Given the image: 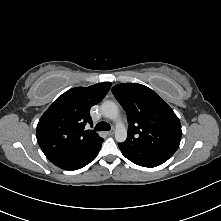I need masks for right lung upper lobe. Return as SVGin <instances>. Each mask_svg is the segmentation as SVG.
<instances>
[{
  "instance_id": "cb5924a9",
  "label": "right lung upper lobe",
  "mask_w": 221,
  "mask_h": 221,
  "mask_svg": "<svg viewBox=\"0 0 221 221\" xmlns=\"http://www.w3.org/2000/svg\"><path fill=\"white\" fill-rule=\"evenodd\" d=\"M111 83L76 87L59 96L37 125V141L45 156L59 168L68 170L91 153L103 139L93 130L90 108L108 93Z\"/></svg>"
}]
</instances>
